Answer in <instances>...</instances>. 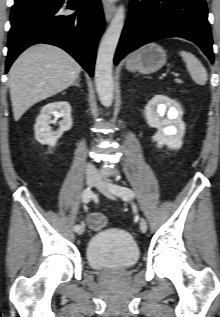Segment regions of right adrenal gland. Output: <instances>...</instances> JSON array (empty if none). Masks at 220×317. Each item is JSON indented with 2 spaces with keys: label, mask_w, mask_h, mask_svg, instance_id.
Masks as SVG:
<instances>
[{
  "label": "right adrenal gland",
  "mask_w": 220,
  "mask_h": 317,
  "mask_svg": "<svg viewBox=\"0 0 220 317\" xmlns=\"http://www.w3.org/2000/svg\"><path fill=\"white\" fill-rule=\"evenodd\" d=\"M79 82H80V78H78V79L75 81V83H74L73 85H74V86H77V87H80Z\"/></svg>",
  "instance_id": "obj_1"
}]
</instances>
